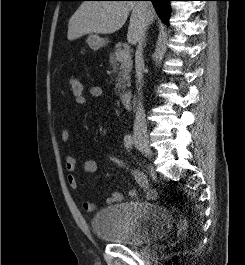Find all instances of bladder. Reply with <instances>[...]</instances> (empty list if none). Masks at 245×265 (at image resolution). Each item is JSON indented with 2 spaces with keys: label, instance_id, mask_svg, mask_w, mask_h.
<instances>
[{
  "label": "bladder",
  "instance_id": "1",
  "mask_svg": "<svg viewBox=\"0 0 245 265\" xmlns=\"http://www.w3.org/2000/svg\"><path fill=\"white\" fill-rule=\"evenodd\" d=\"M91 226L100 239L139 246L163 237L169 216L164 208L147 201L120 202L97 211Z\"/></svg>",
  "mask_w": 245,
  "mask_h": 265
}]
</instances>
